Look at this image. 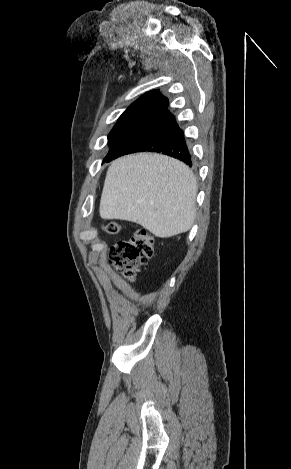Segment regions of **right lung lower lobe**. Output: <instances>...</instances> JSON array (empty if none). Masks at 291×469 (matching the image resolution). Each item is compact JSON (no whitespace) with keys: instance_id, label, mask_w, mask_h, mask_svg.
Here are the masks:
<instances>
[{"instance_id":"98d812e1","label":"right lung lower lobe","mask_w":291,"mask_h":469,"mask_svg":"<svg viewBox=\"0 0 291 469\" xmlns=\"http://www.w3.org/2000/svg\"><path fill=\"white\" fill-rule=\"evenodd\" d=\"M150 151L177 158L190 167L192 157L183 131L178 127L174 115L164 110L149 119L144 125L125 139L106 159L107 162L134 152Z\"/></svg>"}]
</instances>
